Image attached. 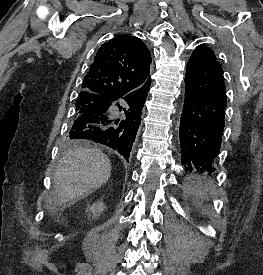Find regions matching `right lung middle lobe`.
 <instances>
[{"mask_svg":"<svg viewBox=\"0 0 263 275\" xmlns=\"http://www.w3.org/2000/svg\"><path fill=\"white\" fill-rule=\"evenodd\" d=\"M107 108V101L103 98L96 96L94 94L80 95L76 102V117L80 114L87 112H95L105 110ZM65 145L77 146L78 142L74 141V139L67 140Z\"/></svg>","mask_w":263,"mask_h":275,"instance_id":"dd1d6c3e","label":"right lung middle lobe"}]
</instances>
